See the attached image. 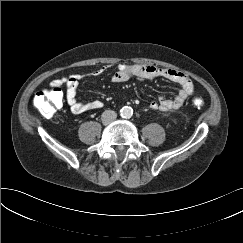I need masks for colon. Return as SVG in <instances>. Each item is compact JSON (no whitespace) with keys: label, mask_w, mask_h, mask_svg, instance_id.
Segmentation results:
<instances>
[{"label":"colon","mask_w":243,"mask_h":243,"mask_svg":"<svg viewBox=\"0 0 243 243\" xmlns=\"http://www.w3.org/2000/svg\"><path fill=\"white\" fill-rule=\"evenodd\" d=\"M193 104L196 107H202L204 101L201 98H194ZM63 103V93L60 88H50L36 94L33 99L34 106L44 117L51 118L55 115Z\"/></svg>","instance_id":"colon-1"}]
</instances>
